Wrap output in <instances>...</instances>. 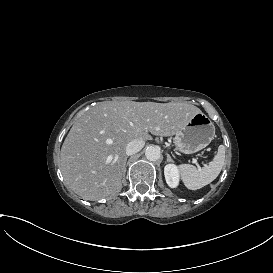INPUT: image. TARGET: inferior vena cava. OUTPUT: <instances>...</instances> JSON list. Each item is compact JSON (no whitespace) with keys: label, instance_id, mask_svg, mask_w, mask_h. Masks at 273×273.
<instances>
[{"label":"inferior vena cava","instance_id":"obj_1","mask_svg":"<svg viewBox=\"0 0 273 273\" xmlns=\"http://www.w3.org/2000/svg\"><path fill=\"white\" fill-rule=\"evenodd\" d=\"M145 145V142L141 139H134L127 144L126 154L133 155L139 152Z\"/></svg>","mask_w":273,"mask_h":273}]
</instances>
